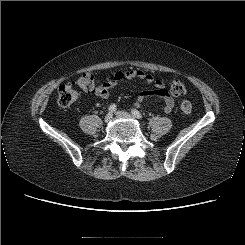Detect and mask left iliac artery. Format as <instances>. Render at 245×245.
Here are the masks:
<instances>
[{"instance_id":"left-iliac-artery-1","label":"left iliac artery","mask_w":245,"mask_h":245,"mask_svg":"<svg viewBox=\"0 0 245 245\" xmlns=\"http://www.w3.org/2000/svg\"><path fill=\"white\" fill-rule=\"evenodd\" d=\"M131 113L133 114L134 117H136L138 119H142V114L138 110L132 109Z\"/></svg>"}]
</instances>
